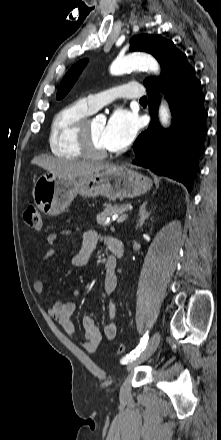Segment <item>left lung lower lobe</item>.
<instances>
[{"mask_svg": "<svg viewBox=\"0 0 221 440\" xmlns=\"http://www.w3.org/2000/svg\"><path fill=\"white\" fill-rule=\"evenodd\" d=\"M200 86L186 55L179 50L172 52L160 78L146 85L151 122L133 144L134 164L178 180L189 191L198 171V159L203 153L207 133L205 97ZM159 88H163L172 111L173 125L168 130L160 126L157 118Z\"/></svg>", "mask_w": 221, "mask_h": 440, "instance_id": "obj_1", "label": "left lung lower lobe"}]
</instances>
